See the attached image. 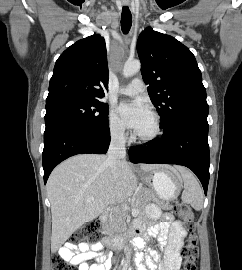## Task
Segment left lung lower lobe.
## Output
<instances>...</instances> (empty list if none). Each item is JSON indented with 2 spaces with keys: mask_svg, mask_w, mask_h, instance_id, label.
I'll list each match as a JSON object with an SVG mask.
<instances>
[{
  "mask_svg": "<svg viewBox=\"0 0 242 270\" xmlns=\"http://www.w3.org/2000/svg\"><path fill=\"white\" fill-rule=\"evenodd\" d=\"M207 117L183 118L164 129L162 138L149 142L146 148H131L133 163H166L190 168L207 193L210 154Z\"/></svg>",
  "mask_w": 242,
  "mask_h": 270,
  "instance_id": "obj_1",
  "label": "left lung lower lobe"
}]
</instances>
